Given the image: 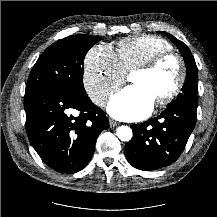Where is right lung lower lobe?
<instances>
[{"label":"right lung lower lobe","instance_id":"right-lung-lower-lobe-1","mask_svg":"<svg viewBox=\"0 0 217 217\" xmlns=\"http://www.w3.org/2000/svg\"><path fill=\"white\" fill-rule=\"evenodd\" d=\"M24 108L31 145L47 166L61 173L82 170L99 134L109 127L105 113L87 94L36 91L25 94Z\"/></svg>","mask_w":217,"mask_h":217}]
</instances>
